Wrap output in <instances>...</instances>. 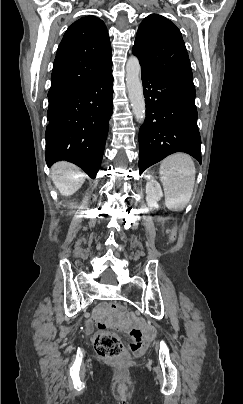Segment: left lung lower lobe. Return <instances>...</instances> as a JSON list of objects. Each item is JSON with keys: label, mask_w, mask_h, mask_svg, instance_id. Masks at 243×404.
<instances>
[{"label": "left lung lower lobe", "mask_w": 243, "mask_h": 404, "mask_svg": "<svg viewBox=\"0 0 243 404\" xmlns=\"http://www.w3.org/2000/svg\"><path fill=\"white\" fill-rule=\"evenodd\" d=\"M146 119L139 131L140 174L175 152H185L201 164L193 81L142 69Z\"/></svg>", "instance_id": "obj_1"}]
</instances>
